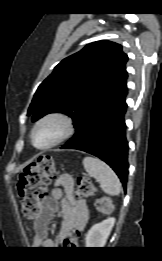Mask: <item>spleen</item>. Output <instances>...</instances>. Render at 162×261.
Returning <instances> with one entry per match:
<instances>
[{"label": "spleen", "instance_id": "3e777b00", "mask_svg": "<svg viewBox=\"0 0 162 261\" xmlns=\"http://www.w3.org/2000/svg\"><path fill=\"white\" fill-rule=\"evenodd\" d=\"M83 166L88 174L94 177L102 190L112 196L119 195L121 183L115 172L98 158L87 156L83 159Z\"/></svg>", "mask_w": 162, "mask_h": 261}]
</instances>
